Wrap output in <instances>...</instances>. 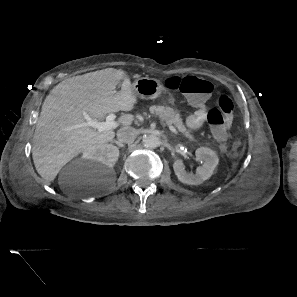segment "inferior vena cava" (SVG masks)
Wrapping results in <instances>:
<instances>
[{"instance_id": "obj_1", "label": "inferior vena cava", "mask_w": 297, "mask_h": 297, "mask_svg": "<svg viewBox=\"0 0 297 297\" xmlns=\"http://www.w3.org/2000/svg\"><path fill=\"white\" fill-rule=\"evenodd\" d=\"M137 136V130L132 127H124L117 132V139L121 143L133 142Z\"/></svg>"}]
</instances>
